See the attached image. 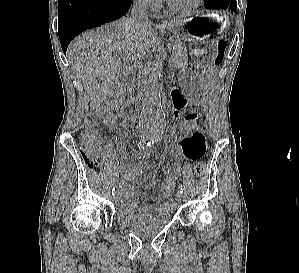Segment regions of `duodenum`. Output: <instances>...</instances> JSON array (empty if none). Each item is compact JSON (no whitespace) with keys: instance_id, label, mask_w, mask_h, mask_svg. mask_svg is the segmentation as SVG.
Listing matches in <instances>:
<instances>
[{"instance_id":"obj_1","label":"duodenum","mask_w":299,"mask_h":273,"mask_svg":"<svg viewBox=\"0 0 299 273\" xmlns=\"http://www.w3.org/2000/svg\"><path fill=\"white\" fill-rule=\"evenodd\" d=\"M119 108L124 114L129 117L132 121H136L138 115V107L134 99L130 96H122L119 99ZM166 110H169L170 106L168 103L165 104Z\"/></svg>"}]
</instances>
